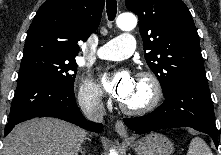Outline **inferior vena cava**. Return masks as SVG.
Segmentation results:
<instances>
[{
    "mask_svg": "<svg viewBox=\"0 0 221 155\" xmlns=\"http://www.w3.org/2000/svg\"><path fill=\"white\" fill-rule=\"evenodd\" d=\"M79 105L85 117L94 122H102L105 108L101 101V93L97 90L87 92L79 97Z\"/></svg>",
    "mask_w": 221,
    "mask_h": 155,
    "instance_id": "inferior-vena-cava-1",
    "label": "inferior vena cava"
}]
</instances>
